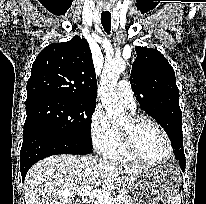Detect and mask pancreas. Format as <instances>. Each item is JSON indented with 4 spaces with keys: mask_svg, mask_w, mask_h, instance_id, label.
I'll return each mask as SVG.
<instances>
[{
    "mask_svg": "<svg viewBox=\"0 0 206 204\" xmlns=\"http://www.w3.org/2000/svg\"><path fill=\"white\" fill-rule=\"evenodd\" d=\"M117 196H121L122 200L118 204H131L129 201V195L126 190L118 191Z\"/></svg>",
    "mask_w": 206,
    "mask_h": 204,
    "instance_id": "pancreas-1",
    "label": "pancreas"
}]
</instances>
